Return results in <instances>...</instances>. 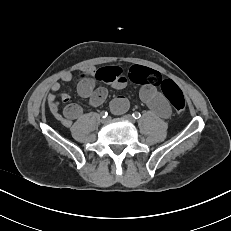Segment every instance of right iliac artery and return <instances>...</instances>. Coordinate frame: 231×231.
<instances>
[{
    "label": "right iliac artery",
    "instance_id": "1",
    "mask_svg": "<svg viewBox=\"0 0 231 231\" xmlns=\"http://www.w3.org/2000/svg\"><path fill=\"white\" fill-rule=\"evenodd\" d=\"M100 115H101L102 118H106L107 115H108V112H107V111H102V112L100 113Z\"/></svg>",
    "mask_w": 231,
    "mask_h": 231
}]
</instances>
